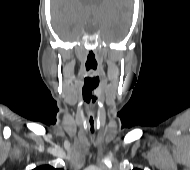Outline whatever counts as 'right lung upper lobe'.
Listing matches in <instances>:
<instances>
[{
	"label": "right lung upper lobe",
	"instance_id": "obj_1",
	"mask_svg": "<svg viewBox=\"0 0 190 170\" xmlns=\"http://www.w3.org/2000/svg\"><path fill=\"white\" fill-rule=\"evenodd\" d=\"M33 170H63V169H55L54 167L50 165H42V166L36 167Z\"/></svg>",
	"mask_w": 190,
	"mask_h": 170
}]
</instances>
